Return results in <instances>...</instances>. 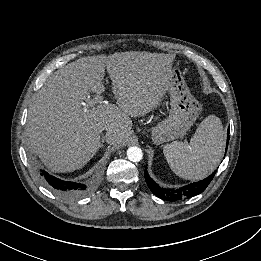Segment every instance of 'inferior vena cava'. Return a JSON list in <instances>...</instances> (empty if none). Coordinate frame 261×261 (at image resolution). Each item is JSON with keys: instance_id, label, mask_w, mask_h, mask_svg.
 Returning a JSON list of instances; mask_svg holds the SVG:
<instances>
[{"instance_id": "602c4592", "label": "inferior vena cava", "mask_w": 261, "mask_h": 261, "mask_svg": "<svg viewBox=\"0 0 261 261\" xmlns=\"http://www.w3.org/2000/svg\"><path fill=\"white\" fill-rule=\"evenodd\" d=\"M109 136H110V133L107 132V133H106V139H108Z\"/></svg>"}]
</instances>
